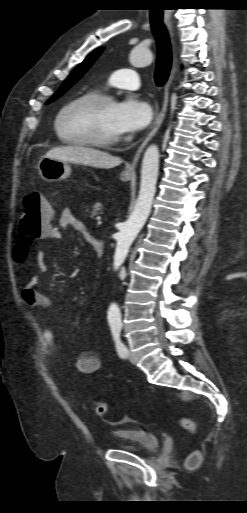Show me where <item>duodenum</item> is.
Returning <instances> with one entry per match:
<instances>
[{
	"label": "duodenum",
	"mask_w": 247,
	"mask_h": 513,
	"mask_svg": "<svg viewBox=\"0 0 247 513\" xmlns=\"http://www.w3.org/2000/svg\"><path fill=\"white\" fill-rule=\"evenodd\" d=\"M88 241L93 246V249L96 253V256L98 258H102L104 254V244L101 240L97 239L96 237L89 235Z\"/></svg>",
	"instance_id": "410a0bca"
}]
</instances>
